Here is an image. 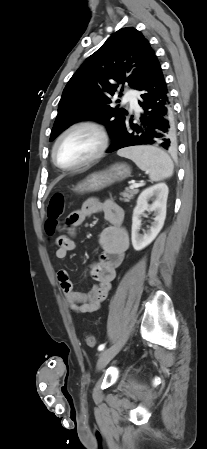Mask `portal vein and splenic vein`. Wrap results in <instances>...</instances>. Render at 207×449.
Wrapping results in <instances>:
<instances>
[{
    "mask_svg": "<svg viewBox=\"0 0 207 449\" xmlns=\"http://www.w3.org/2000/svg\"><path fill=\"white\" fill-rule=\"evenodd\" d=\"M140 186H141V184L133 183L132 185H130V189H135V188H138Z\"/></svg>",
    "mask_w": 207,
    "mask_h": 449,
    "instance_id": "portal-vein-and-splenic-vein-1",
    "label": "portal vein and splenic vein"
}]
</instances>
